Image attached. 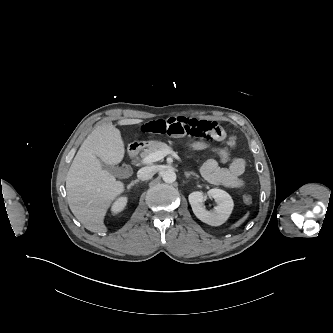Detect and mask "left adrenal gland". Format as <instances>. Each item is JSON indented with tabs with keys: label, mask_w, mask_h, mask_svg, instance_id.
I'll return each instance as SVG.
<instances>
[{
	"label": "left adrenal gland",
	"mask_w": 333,
	"mask_h": 333,
	"mask_svg": "<svg viewBox=\"0 0 333 333\" xmlns=\"http://www.w3.org/2000/svg\"><path fill=\"white\" fill-rule=\"evenodd\" d=\"M191 175L196 176V177L199 178V175H197V174L194 173V172H186V173H185L186 178H189Z\"/></svg>",
	"instance_id": "left-adrenal-gland-1"
}]
</instances>
